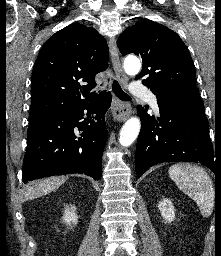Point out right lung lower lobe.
Listing matches in <instances>:
<instances>
[{"label": "right lung lower lobe", "instance_id": "right-lung-lower-lobe-1", "mask_svg": "<svg viewBox=\"0 0 221 256\" xmlns=\"http://www.w3.org/2000/svg\"><path fill=\"white\" fill-rule=\"evenodd\" d=\"M110 104L111 93L107 92L31 123L27 132L23 182L73 173L99 180L107 139L104 114ZM84 110L88 111L87 118H84Z\"/></svg>", "mask_w": 221, "mask_h": 256}]
</instances>
